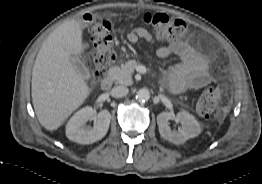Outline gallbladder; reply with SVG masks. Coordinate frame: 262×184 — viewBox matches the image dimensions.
I'll return each mask as SVG.
<instances>
[{
	"label": "gallbladder",
	"instance_id": "obj_1",
	"mask_svg": "<svg viewBox=\"0 0 262 184\" xmlns=\"http://www.w3.org/2000/svg\"><path fill=\"white\" fill-rule=\"evenodd\" d=\"M72 65L77 74H79L82 78L88 79L90 77V72L88 68L84 65V63L77 57H73Z\"/></svg>",
	"mask_w": 262,
	"mask_h": 184
}]
</instances>
